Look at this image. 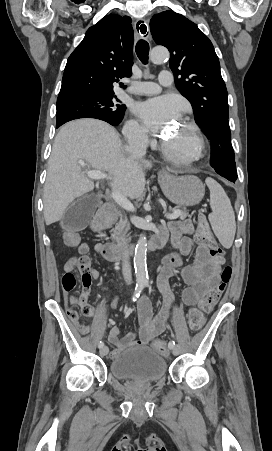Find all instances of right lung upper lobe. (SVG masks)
<instances>
[{
    "label": "right lung upper lobe",
    "mask_w": 272,
    "mask_h": 451,
    "mask_svg": "<svg viewBox=\"0 0 272 451\" xmlns=\"http://www.w3.org/2000/svg\"><path fill=\"white\" fill-rule=\"evenodd\" d=\"M133 41L127 16L110 14L90 27L67 60L58 99L114 95L112 84L132 74Z\"/></svg>",
    "instance_id": "obj_1"
}]
</instances>
